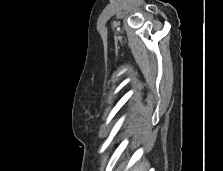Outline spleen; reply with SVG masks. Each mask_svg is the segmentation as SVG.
I'll list each match as a JSON object with an SVG mask.
<instances>
[{
  "label": "spleen",
  "instance_id": "1",
  "mask_svg": "<svg viewBox=\"0 0 223 171\" xmlns=\"http://www.w3.org/2000/svg\"><path fill=\"white\" fill-rule=\"evenodd\" d=\"M132 171H147V165L144 162L139 163L136 165Z\"/></svg>",
  "mask_w": 223,
  "mask_h": 171
}]
</instances>
